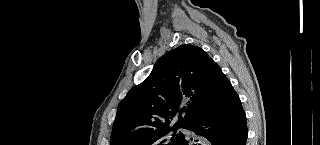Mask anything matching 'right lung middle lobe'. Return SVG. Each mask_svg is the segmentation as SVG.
I'll return each instance as SVG.
<instances>
[{
	"mask_svg": "<svg viewBox=\"0 0 320 145\" xmlns=\"http://www.w3.org/2000/svg\"><path fill=\"white\" fill-rule=\"evenodd\" d=\"M180 127L164 128L154 131L132 145H178L183 138V134H176ZM183 128V127H182ZM173 131V133H171Z\"/></svg>",
	"mask_w": 320,
	"mask_h": 145,
	"instance_id": "1",
	"label": "right lung middle lobe"
}]
</instances>
